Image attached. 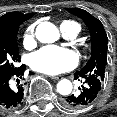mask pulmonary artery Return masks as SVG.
I'll list each match as a JSON object with an SVG mask.
<instances>
[{"instance_id": "pulmonary-artery-1", "label": "pulmonary artery", "mask_w": 117, "mask_h": 117, "mask_svg": "<svg viewBox=\"0 0 117 117\" xmlns=\"http://www.w3.org/2000/svg\"><path fill=\"white\" fill-rule=\"evenodd\" d=\"M62 32L67 38H70V39L74 38L78 34L76 31H73V30L65 31V30L62 29Z\"/></svg>"}]
</instances>
